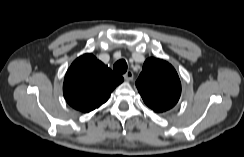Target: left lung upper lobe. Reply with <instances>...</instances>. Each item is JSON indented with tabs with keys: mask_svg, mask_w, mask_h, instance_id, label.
I'll return each mask as SVG.
<instances>
[{
	"mask_svg": "<svg viewBox=\"0 0 244 157\" xmlns=\"http://www.w3.org/2000/svg\"><path fill=\"white\" fill-rule=\"evenodd\" d=\"M136 86L145 104L155 112H164L178 102L181 83L177 72L168 62L148 58Z\"/></svg>",
	"mask_w": 244,
	"mask_h": 157,
	"instance_id": "5c2ea615",
	"label": "left lung upper lobe"
}]
</instances>
